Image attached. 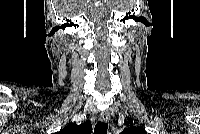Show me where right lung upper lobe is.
Instances as JSON below:
<instances>
[{"label": "right lung upper lobe", "mask_w": 200, "mask_h": 134, "mask_svg": "<svg viewBox=\"0 0 200 134\" xmlns=\"http://www.w3.org/2000/svg\"><path fill=\"white\" fill-rule=\"evenodd\" d=\"M59 134H90L91 127L90 123L86 122L80 125L72 123L67 125L64 129L58 132Z\"/></svg>", "instance_id": "cb5924a9"}]
</instances>
